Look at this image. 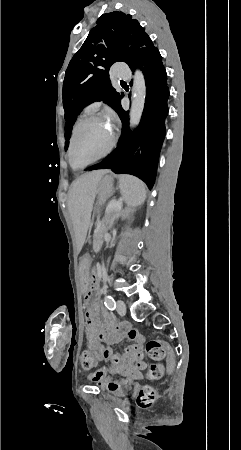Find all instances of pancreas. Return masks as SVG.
<instances>
[{
	"label": "pancreas",
	"instance_id": "pancreas-1",
	"mask_svg": "<svg viewBox=\"0 0 241 450\" xmlns=\"http://www.w3.org/2000/svg\"><path fill=\"white\" fill-rule=\"evenodd\" d=\"M117 214H108V216L103 220L104 226L106 227H97V236H94L92 238L93 245L91 246L92 250H98V246H100L104 241L105 238L103 237V232H106V228H110V224H112L114 218H116Z\"/></svg>",
	"mask_w": 241,
	"mask_h": 450
}]
</instances>
